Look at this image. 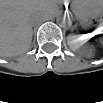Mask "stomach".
<instances>
[{
  "label": "stomach",
  "instance_id": "1",
  "mask_svg": "<svg viewBox=\"0 0 103 103\" xmlns=\"http://www.w3.org/2000/svg\"><path fill=\"white\" fill-rule=\"evenodd\" d=\"M102 3L96 0H84L73 3V7L77 15L84 22H90L94 18H98L101 15Z\"/></svg>",
  "mask_w": 103,
  "mask_h": 103
}]
</instances>
